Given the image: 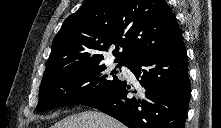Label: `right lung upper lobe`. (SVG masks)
<instances>
[{
	"label": "right lung upper lobe",
	"instance_id": "right-lung-upper-lobe-1",
	"mask_svg": "<svg viewBox=\"0 0 221 128\" xmlns=\"http://www.w3.org/2000/svg\"><path fill=\"white\" fill-rule=\"evenodd\" d=\"M181 41L165 0H89L56 34L46 70L80 60L102 62L112 45L121 65Z\"/></svg>",
	"mask_w": 221,
	"mask_h": 128
}]
</instances>
